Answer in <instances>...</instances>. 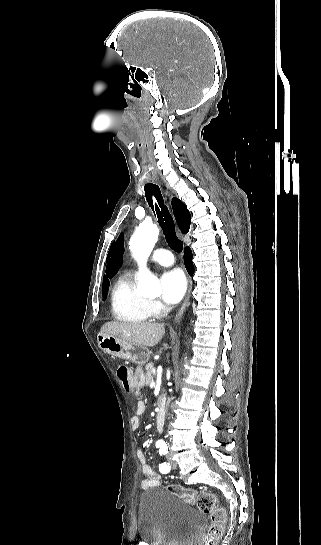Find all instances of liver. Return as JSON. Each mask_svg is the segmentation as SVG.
<instances>
[{
  "instance_id": "obj_1",
  "label": "liver",
  "mask_w": 321,
  "mask_h": 545,
  "mask_svg": "<svg viewBox=\"0 0 321 545\" xmlns=\"http://www.w3.org/2000/svg\"><path fill=\"white\" fill-rule=\"evenodd\" d=\"M101 335H113L121 341L134 343L137 347H155L161 341L165 329L159 323H126L111 321L101 327Z\"/></svg>"
}]
</instances>
